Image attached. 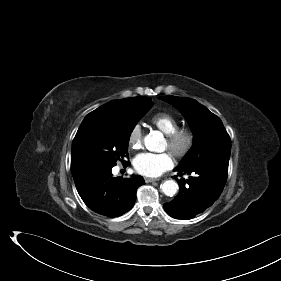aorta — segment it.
Instances as JSON below:
<instances>
[{
    "instance_id": "1",
    "label": "aorta",
    "mask_w": 281,
    "mask_h": 281,
    "mask_svg": "<svg viewBox=\"0 0 281 281\" xmlns=\"http://www.w3.org/2000/svg\"><path fill=\"white\" fill-rule=\"evenodd\" d=\"M162 141L163 135L159 131L150 132L144 138L145 147L149 151H157ZM160 188L166 196H174L178 191V184L174 180H166L163 184H161Z\"/></svg>"
}]
</instances>
